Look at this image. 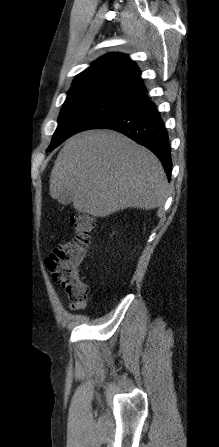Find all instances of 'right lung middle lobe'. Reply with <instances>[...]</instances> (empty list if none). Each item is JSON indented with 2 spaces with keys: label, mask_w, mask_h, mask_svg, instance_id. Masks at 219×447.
Masks as SVG:
<instances>
[{
  "label": "right lung middle lobe",
  "mask_w": 219,
  "mask_h": 447,
  "mask_svg": "<svg viewBox=\"0 0 219 447\" xmlns=\"http://www.w3.org/2000/svg\"><path fill=\"white\" fill-rule=\"evenodd\" d=\"M142 103L144 102L138 98L109 87L71 88L47 151L56 148L70 136L84 130L96 129Z\"/></svg>",
  "instance_id": "obj_1"
}]
</instances>
